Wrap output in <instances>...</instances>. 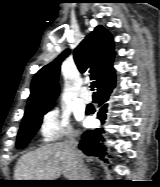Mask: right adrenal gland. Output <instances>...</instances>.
I'll return each instance as SVG.
<instances>
[{
  "label": "right adrenal gland",
  "mask_w": 160,
  "mask_h": 187,
  "mask_svg": "<svg viewBox=\"0 0 160 187\" xmlns=\"http://www.w3.org/2000/svg\"><path fill=\"white\" fill-rule=\"evenodd\" d=\"M90 173H91V170L89 169V170H88V176H89V179H92Z\"/></svg>",
  "instance_id": "obj_1"
}]
</instances>
